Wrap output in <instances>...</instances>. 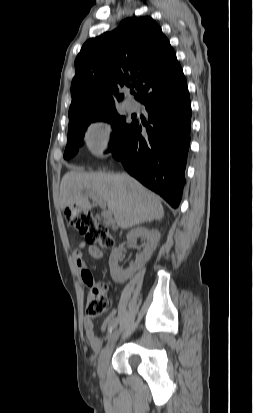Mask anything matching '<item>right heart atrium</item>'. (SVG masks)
<instances>
[{
	"label": "right heart atrium",
	"mask_w": 253,
	"mask_h": 413,
	"mask_svg": "<svg viewBox=\"0 0 253 413\" xmlns=\"http://www.w3.org/2000/svg\"><path fill=\"white\" fill-rule=\"evenodd\" d=\"M111 139V126L107 121L93 122L87 129L85 141L89 150L96 156H102L108 149Z\"/></svg>",
	"instance_id": "right-heart-atrium-1"
}]
</instances>
